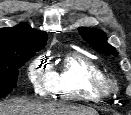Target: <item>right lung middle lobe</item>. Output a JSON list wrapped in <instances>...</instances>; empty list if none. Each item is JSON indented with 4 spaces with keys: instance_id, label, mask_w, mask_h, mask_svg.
Segmentation results:
<instances>
[{
    "instance_id": "1",
    "label": "right lung middle lobe",
    "mask_w": 131,
    "mask_h": 115,
    "mask_svg": "<svg viewBox=\"0 0 131 115\" xmlns=\"http://www.w3.org/2000/svg\"><path fill=\"white\" fill-rule=\"evenodd\" d=\"M36 51H24L10 58L7 64H0V98L12 92L18 80V68L24 65Z\"/></svg>"
}]
</instances>
